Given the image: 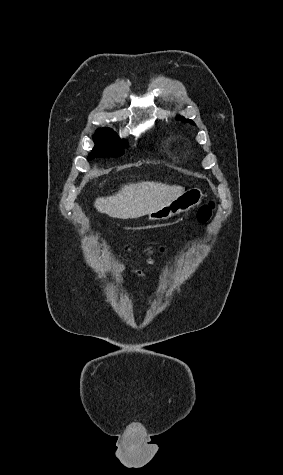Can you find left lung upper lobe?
Segmentation results:
<instances>
[{
  "label": "left lung upper lobe",
  "instance_id": "1",
  "mask_svg": "<svg viewBox=\"0 0 283 475\" xmlns=\"http://www.w3.org/2000/svg\"><path fill=\"white\" fill-rule=\"evenodd\" d=\"M176 118H177L178 120H182L183 122H189V123H191V124L195 125V124H194V122H193L192 120L185 119L184 117L177 116Z\"/></svg>",
  "mask_w": 283,
  "mask_h": 475
}]
</instances>
